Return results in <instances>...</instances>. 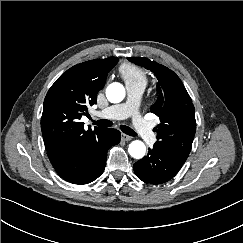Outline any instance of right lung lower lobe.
Segmentation results:
<instances>
[{
	"instance_id": "98d812e1",
	"label": "right lung lower lobe",
	"mask_w": 243,
	"mask_h": 243,
	"mask_svg": "<svg viewBox=\"0 0 243 243\" xmlns=\"http://www.w3.org/2000/svg\"><path fill=\"white\" fill-rule=\"evenodd\" d=\"M120 138L118 130L106 128L80 147L48 153V156L63 179L73 184H88L103 173L107 151L118 144Z\"/></svg>"
}]
</instances>
